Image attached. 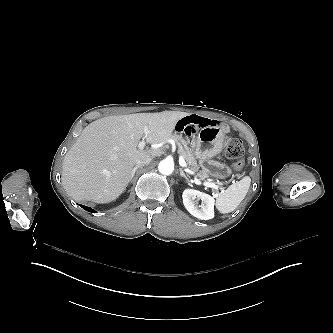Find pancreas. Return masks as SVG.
I'll return each mask as SVG.
<instances>
[{
  "label": "pancreas",
  "instance_id": "1",
  "mask_svg": "<svg viewBox=\"0 0 333 333\" xmlns=\"http://www.w3.org/2000/svg\"><path fill=\"white\" fill-rule=\"evenodd\" d=\"M170 138L175 140L176 145L178 146V154L184 157L190 170L196 173V177H198L202 181L206 180L209 177L208 173L205 170H199L197 160L195 159L194 155L192 154L190 148L187 145V142L182 138V136L171 135Z\"/></svg>",
  "mask_w": 333,
  "mask_h": 333
}]
</instances>
